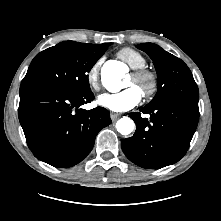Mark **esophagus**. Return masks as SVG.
<instances>
[{"mask_svg":"<svg viewBox=\"0 0 221 221\" xmlns=\"http://www.w3.org/2000/svg\"><path fill=\"white\" fill-rule=\"evenodd\" d=\"M121 115L119 113H114V112H111L110 113V118L112 121H116Z\"/></svg>","mask_w":221,"mask_h":221,"instance_id":"obj_1","label":"esophagus"}]
</instances>
